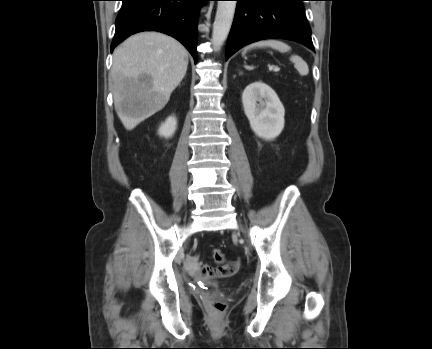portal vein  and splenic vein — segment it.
<instances>
[{"instance_id":"18ae733b","label":"portal vein and splenic vein","mask_w":432,"mask_h":349,"mask_svg":"<svg viewBox=\"0 0 432 349\" xmlns=\"http://www.w3.org/2000/svg\"><path fill=\"white\" fill-rule=\"evenodd\" d=\"M269 70H270V71H274V72H278V71L280 70V68L277 67V66H273V65H271V66H269Z\"/></svg>"}]
</instances>
